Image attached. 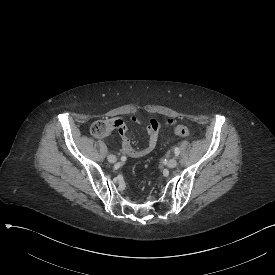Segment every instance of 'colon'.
Segmentation results:
<instances>
[{
	"label": "colon",
	"instance_id": "1",
	"mask_svg": "<svg viewBox=\"0 0 275 275\" xmlns=\"http://www.w3.org/2000/svg\"><path fill=\"white\" fill-rule=\"evenodd\" d=\"M108 127L104 121L98 120L94 121L90 127V132L93 136L101 137L107 133ZM173 132L180 137H188L190 135V130L184 125H174Z\"/></svg>",
	"mask_w": 275,
	"mask_h": 275
}]
</instances>
